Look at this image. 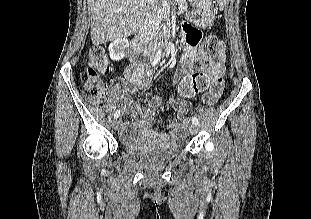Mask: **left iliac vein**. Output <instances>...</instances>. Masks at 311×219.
<instances>
[{
    "mask_svg": "<svg viewBox=\"0 0 311 219\" xmlns=\"http://www.w3.org/2000/svg\"><path fill=\"white\" fill-rule=\"evenodd\" d=\"M197 131H198L197 125L191 124V125L189 126V132H190V134L194 135V134L197 133Z\"/></svg>",
    "mask_w": 311,
    "mask_h": 219,
    "instance_id": "obj_1",
    "label": "left iliac vein"
}]
</instances>
